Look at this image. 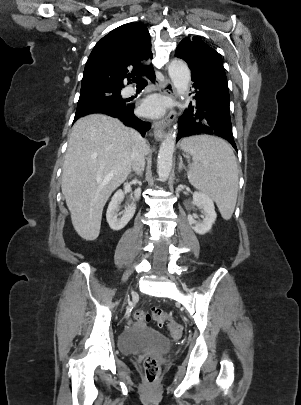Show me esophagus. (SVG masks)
Returning a JSON list of instances; mask_svg holds the SVG:
<instances>
[{
	"label": "esophagus",
	"instance_id": "34e87169",
	"mask_svg": "<svg viewBox=\"0 0 301 405\" xmlns=\"http://www.w3.org/2000/svg\"><path fill=\"white\" fill-rule=\"evenodd\" d=\"M157 89L159 92H162L170 97H174V94H175L174 86H173L172 82L167 78L164 79L163 82H160L157 85ZM175 117H176L175 110H171L165 119L154 123L153 133H154V137L156 140L159 141L165 136L166 129L172 123V121L175 119Z\"/></svg>",
	"mask_w": 301,
	"mask_h": 405
}]
</instances>
